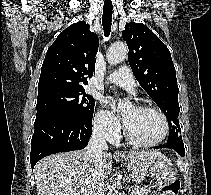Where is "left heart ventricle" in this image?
Here are the masks:
<instances>
[{"label":"left heart ventricle","mask_w":211,"mask_h":195,"mask_svg":"<svg viewBox=\"0 0 211 195\" xmlns=\"http://www.w3.org/2000/svg\"><path fill=\"white\" fill-rule=\"evenodd\" d=\"M124 119L129 132L142 142H152L163 135V121L153 111L130 107L124 111Z\"/></svg>","instance_id":"b2bd125f"}]
</instances>
